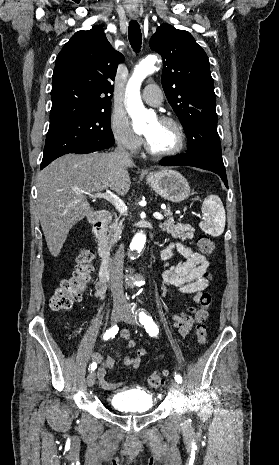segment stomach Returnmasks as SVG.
<instances>
[{"mask_svg": "<svg viewBox=\"0 0 279 465\" xmlns=\"http://www.w3.org/2000/svg\"><path fill=\"white\" fill-rule=\"evenodd\" d=\"M146 181L158 195L170 202H181L190 195V186L186 178L169 168L150 173Z\"/></svg>", "mask_w": 279, "mask_h": 465, "instance_id": "0dacf381", "label": "stomach"}]
</instances>
